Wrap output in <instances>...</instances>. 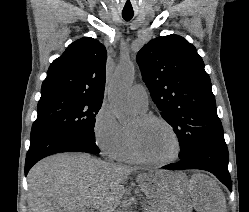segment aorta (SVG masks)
Wrapping results in <instances>:
<instances>
[{
  "instance_id": "1",
  "label": "aorta",
  "mask_w": 249,
  "mask_h": 212,
  "mask_svg": "<svg viewBox=\"0 0 249 212\" xmlns=\"http://www.w3.org/2000/svg\"><path fill=\"white\" fill-rule=\"evenodd\" d=\"M135 75V65L131 61H122L117 66L109 83L107 94L110 106L120 121H127L134 115L129 102V91Z\"/></svg>"
}]
</instances>
